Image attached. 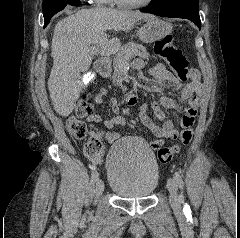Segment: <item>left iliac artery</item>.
<instances>
[{
  "label": "left iliac artery",
  "instance_id": "1",
  "mask_svg": "<svg viewBox=\"0 0 240 238\" xmlns=\"http://www.w3.org/2000/svg\"><path fill=\"white\" fill-rule=\"evenodd\" d=\"M174 177H175V180L177 181L179 187H180L181 189H183V187H184V182H183V179H182V171H181L180 169H177V171L175 172ZM184 209H189V207L185 206Z\"/></svg>",
  "mask_w": 240,
  "mask_h": 238
}]
</instances>
